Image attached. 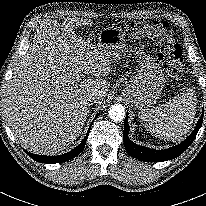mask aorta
<instances>
[{"label": "aorta", "mask_w": 206, "mask_h": 206, "mask_svg": "<svg viewBox=\"0 0 206 206\" xmlns=\"http://www.w3.org/2000/svg\"><path fill=\"white\" fill-rule=\"evenodd\" d=\"M109 117L113 121H122L125 118V108L121 104H114L109 108Z\"/></svg>", "instance_id": "aorta-1"}]
</instances>
